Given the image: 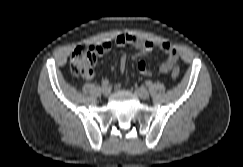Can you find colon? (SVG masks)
I'll use <instances>...</instances> for the list:
<instances>
[{
	"label": "colon",
	"mask_w": 243,
	"mask_h": 167,
	"mask_svg": "<svg viewBox=\"0 0 243 167\" xmlns=\"http://www.w3.org/2000/svg\"><path fill=\"white\" fill-rule=\"evenodd\" d=\"M96 63V47L95 46H78L74 49L70 58V67L74 75L79 77H87L93 72ZM180 69L174 67L171 71L173 78H177Z\"/></svg>",
	"instance_id": "colon-1"
}]
</instances>
